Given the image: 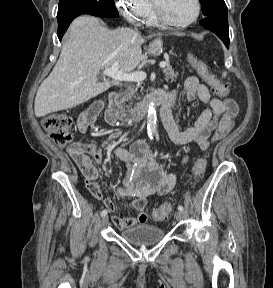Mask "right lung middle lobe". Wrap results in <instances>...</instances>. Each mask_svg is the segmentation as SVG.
Segmentation results:
<instances>
[{"instance_id":"dd1d6c3e","label":"right lung middle lobe","mask_w":273,"mask_h":288,"mask_svg":"<svg viewBox=\"0 0 273 288\" xmlns=\"http://www.w3.org/2000/svg\"><path fill=\"white\" fill-rule=\"evenodd\" d=\"M76 14L97 17H117L119 15L114 0H60L57 20Z\"/></svg>"}]
</instances>
